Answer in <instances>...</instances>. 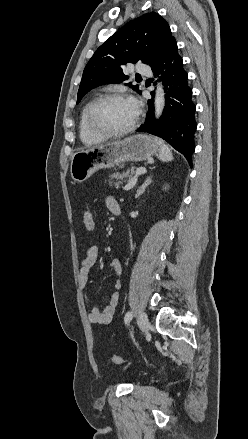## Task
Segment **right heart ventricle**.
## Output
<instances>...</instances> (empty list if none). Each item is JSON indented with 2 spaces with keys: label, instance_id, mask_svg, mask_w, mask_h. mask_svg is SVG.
<instances>
[{
  "label": "right heart ventricle",
  "instance_id": "obj_1",
  "mask_svg": "<svg viewBox=\"0 0 248 439\" xmlns=\"http://www.w3.org/2000/svg\"><path fill=\"white\" fill-rule=\"evenodd\" d=\"M92 102L93 100H90L84 105V107L81 110L79 123H78L79 137L82 143L87 146L96 145L106 140V137L92 132L88 127L87 112Z\"/></svg>",
  "mask_w": 248,
  "mask_h": 439
}]
</instances>
